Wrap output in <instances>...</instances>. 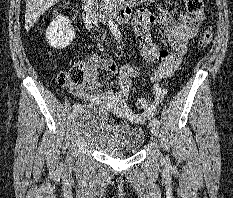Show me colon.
Masks as SVG:
<instances>
[{
	"mask_svg": "<svg viewBox=\"0 0 233 198\" xmlns=\"http://www.w3.org/2000/svg\"><path fill=\"white\" fill-rule=\"evenodd\" d=\"M187 10L193 14L196 20L201 23L204 20L203 0H185ZM213 34L210 29H206L201 37V45L207 48L212 42ZM84 80L83 68L80 65H75L68 71H63L58 74V83L62 87H70L73 85H81ZM135 108L145 114L151 113L158 105L156 100L140 97L134 102Z\"/></svg>",
	"mask_w": 233,
	"mask_h": 198,
	"instance_id": "obj_1",
	"label": "colon"
}]
</instances>
